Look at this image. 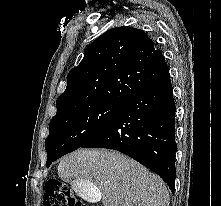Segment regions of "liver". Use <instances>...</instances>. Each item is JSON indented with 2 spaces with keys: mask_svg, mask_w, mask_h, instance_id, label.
<instances>
[{
  "mask_svg": "<svg viewBox=\"0 0 221 206\" xmlns=\"http://www.w3.org/2000/svg\"><path fill=\"white\" fill-rule=\"evenodd\" d=\"M59 177L77 186L98 190L104 206H169L164 181L117 151L79 149L63 157ZM91 188V189H92Z\"/></svg>",
  "mask_w": 221,
  "mask_h": 206,
  "instance_id": "6515ba94",
  "label": "liver"
}]
</instances>
